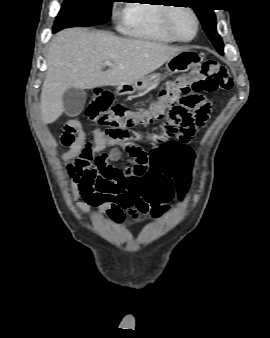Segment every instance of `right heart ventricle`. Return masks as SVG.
Wrapping results in <instances>:
<instances>
[{"mask_svg": "<svg viewBox=\"0 0 270 338\" xmlns=\"http://www.w3.org/2000/svg\"><path fill=\"white\" fill-rule=\"evenodd\" d=\"M155 1L150 4H130L124 16L122 27L132 37L159 43H172L174 40L163 26L164 14L168 6Z\"/></svg>", "mask_w": 270, "mask_h": 338, "instance_id": "obj_1", "label": "right heart ventricle"}]
</instances>
